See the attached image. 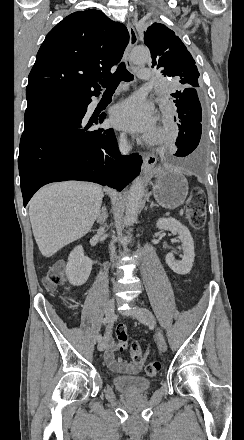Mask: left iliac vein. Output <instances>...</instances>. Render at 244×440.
Wrapping results in <instances>:
<instances>
[{"mask_svg":"<svg viewBox=\"0 0 244 440\" xmlns=\"http://www.w3.org/2000/svg\"><path fill=\"white\" fill-rule=\"evenodd\" d=\"M133 312H134V316L140 323L152 325V326L156 325L155 317L152 314V312L149 311L148 309L144 307H137L136 309L133 310ZM157 346L161 352H165L167 350V343L164 340L162 334H159L157 337Z\"/></svg>","mask_w":244,"mask_h":440,"instance_id":"4c4485c4","label":"left iliac vein"}]
</instances>
